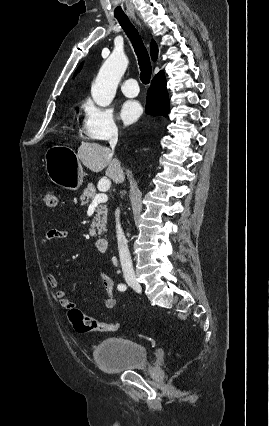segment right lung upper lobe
Listing matches in <instances>:
<instances>
[{"mask_svg": "<svg viewBox=\"0 0 269 426\" xmlns=\"http://www.w3.org/2000/svg\"><path fill=\"white\" fill-rule=\"evenodd\" d=\"M151 57H152L153 61H156L157 57H158V47H157L154 40H152V42H151ZM80 68H81V66L77 69L76 73L80 70ZM159 73H162V71L159 72Z\"/></svg>", "mask_w": 269, "mask_h": 426, "instance_id": "obj_1", "label": "right lung upper lobe"}]
</instances>
